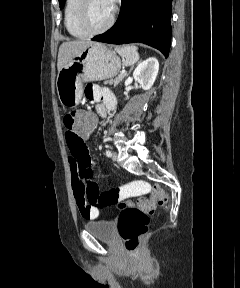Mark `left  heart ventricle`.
Returning a JSON list of instances; mask_svg holds the SVG:
<instances>
[{"instance_id":"b2bd125f","label":"left heart ventricle","mask_w":240,"mask_h":288,"mask_svg":"<svg viewBox=\"0 0 240 288\" xmlns=\"http://www.w3.org/2000/svg\"><path fill=\"white\" fill-rule=\"evenodd\" d=\"M112 9L104 0H90L88 6V23L94 28L102 27L110 18Z\"/></svg>"}]
</instances>
